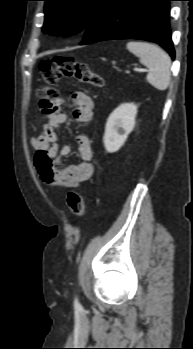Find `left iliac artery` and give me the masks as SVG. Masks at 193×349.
Returning a JSON list of instances; mask_svg holds the SVG:
<instances>
[{
    "label": "left iliac artery",
    "mask_w": 193,
    "mask_h": 349,
    "mask_svg": "<svg viewBox=\"0 0 193 349\" xmlns=\"http://www.w3.org/2000/svg\"><path fill=\"white\" fill-rule=\"evenodd\" d=\"M74 305H75V307H81L77 298H75V300H74Z\"/></svg>",
    "instance_id": "44dca946"
}]
</instances>
